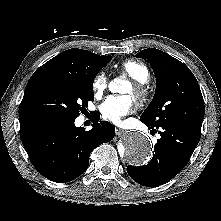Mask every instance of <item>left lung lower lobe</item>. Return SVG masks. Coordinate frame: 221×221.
Wrapping results in <instances>:
<instances>
[{"mask_svg": "<svg viewBox=\"0 0 221 221\" xmlns=\"http://www.w3.org/2000/svg\"><path fill=\"white\" fill-rule=\"evenodd\" d=\"M158 130L161 138L155 144L151 161L147 165L127 167L129 176L147 187L175 177L189 161L201 137V132L180 123H167Z\"/></svg>", "mask_w": 221, "mask_h": 221, "instance_id": "left-lung-lower-lobe-1", "label": "left lung lower lobe"}]
</instances>
